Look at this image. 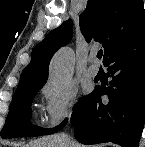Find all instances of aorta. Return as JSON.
Wrapping results in <instances>:
<instances>
[{"instance_id": "obj_1", "label": "aorta", "mask_w": 145, "mask_h": 147, "mask_svg": "<svg viewBox=\"0 0 145 147\" xmlns=\"http://www.w3.org/2000/svg\"><path fill=\"white\" fill-rule=\"evenodd\" d=\"M74 69V53L66 47L60 49L52 58L49 67V80L51 84L61 87L71 77Z\"/></svg>"}]
</instances>
